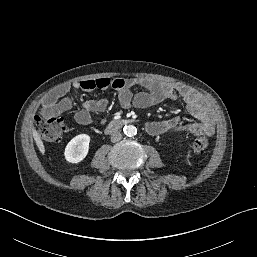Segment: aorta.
<instances>
[{"label": "aorta", "instance_id": "aorta-1", "mask_svg": "<svg viewBox=\"0 0 257 257\" xmlns=\"http://www.w3.org/2000/svg\"><path fill=\"white\" fill-rule=\"evenodd\" d=\"M124 134L128 137L135 136L137 134V128L133 125H126L123 128Z\"/></svg>", "mask_w": 257, "mask_h": 257}]
</instances>
